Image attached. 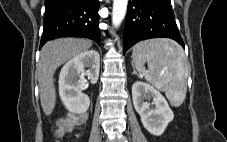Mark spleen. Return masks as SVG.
Instances as JSON below:
<instances>
[{"label":"spleen","instance_id":"1","mask_svg":"<svg viewBox=\"0 0 227 142\" xmlns=\"http://www.w3.org/2000/svg\"><path fill=\"white\" fill-rule=\"evenodd\" d=\"M133 67L165 92L170 103L178 107L186 97L188 63L182 47L169 39H151L137 43L132 52ZM147 62L148 70L144 68Z\"/></svg>","mask_w":227,"mask_h":142}]
</instances>
